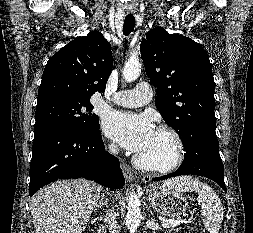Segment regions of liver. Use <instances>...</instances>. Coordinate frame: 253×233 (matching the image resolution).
I'll use <instances>...</instances> for the list:
<instances>
[{
	"label": "liver",
	"mask_w": 253,
	"mask_h": 233,
	"mask_svg": "<svg viewBox=\"0 0 253 233\" xmlns=\"http://www.w3.org/2000/svg\"><path fill=\"white\" fill-rule=\"evenodd\" d=\"M102 186L84 180H59L31 201L35 233H82L101 196Z\"/></svg>",
	"instance_id": "6515ba94"
}]
</instances>
